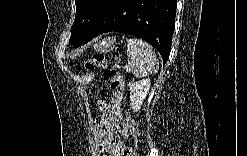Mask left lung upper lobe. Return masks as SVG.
Returning a JSON list of instances; mask_svg holds the SVG:
<instances>
[{"instance_id": "left-lung-upper-lobe-1", "label": "left lung upper lobe", "mask_w": 247, "mask_h": 156, "mask_svg": "<svg viewBox=\"0 0 247 156\" xmlns=\"http://www.w3.org/2000/svg\"><path fill=\"white\" fill-rule=\"evenodd\" d=\"M109 2L110 0H76V14L69 44L76 48L85 44L90 29L105 11Z\"/></svg>"}]
</instances>
